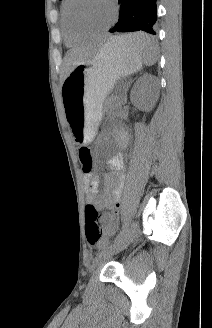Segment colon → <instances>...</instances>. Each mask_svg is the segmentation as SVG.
<instances>
[{"label":"colon","instance_id":"5ec220e1","mask_svg":"<svg viewBox=\"0 0 212 328\" xmlns=\"http://www.w3.org/2000/svg\"><path fill=\"white\" fill-rule=\"evenodd\" d=\"M79 158L82 163L83 172H91L93 168L91 150L88 147H81L79 149ZM99 216V211L93 204H88L85 207V234L91 246H103L105 244V239L98 223Z\"/></svg>","mask_w":212,"mask_h":328}]
</instances>
